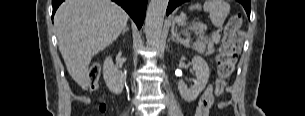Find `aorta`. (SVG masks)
I'll use <instances>...</instances> for the list:
<instances>
[{"label": "aorta", "mask_w": 305, "mask_h": 116, "mask_svg": "<svg viewBox=\"0 0 305 116\" xmlns=\"http://www.w3.org/2000/svg\"><path fill=\"white\" fill-rule=\"evenodd\" d=\"M168 0H151L145 19V34L150 46H157L160 42L162 27Z\"/></svg>", "instance_id": "obj_1"}]
</instances>
